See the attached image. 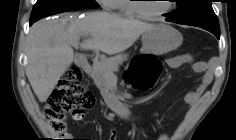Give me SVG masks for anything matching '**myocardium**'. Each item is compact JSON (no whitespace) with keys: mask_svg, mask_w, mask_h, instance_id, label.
I'll list each match as a JSON object with an SVG mask.
<instances>
[{"mask_svg":"<svg viewBox=\"0 0 236 140\" xmlns=\"http://www.w3.org/2000/svg\"><path fill=\"white\" fill-rule=\"evenodd\" d=\"M139 0H135V2H132L130 4V7L132 9V11L140 18L143 19H157L160 18L166 14H168L174 7V4L171 3L172 0H170L168 7L161 11V12H157V13H150L147 12L146 10L143 9L142 5L137 2Z\"/></svg>","mask_w":236,"mask_h":140,"instance_id":"1","label":"myocardium"}]
</instances>
